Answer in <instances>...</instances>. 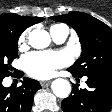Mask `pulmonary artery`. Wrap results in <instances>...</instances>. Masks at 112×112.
Here are the masks:
<instances>
[{
  "label": "pulmonary artery",
  "mask_w": 112,
  "mask_h": 112,
  "mask_svg": "<svg viewBox=\"0 0 112 112\" xmlns=\"http://www.w3.org/2000/svg\"><path fill=\"white\" fill-rule=\"evenodd\" d=\"M68 32L69 30L67 26H64L61 29L57 30L56 32L52 33L51 35L55 42L63 43L68 36Z\"/></svg>",
  "instance_id": "1"
}]
</instances>
